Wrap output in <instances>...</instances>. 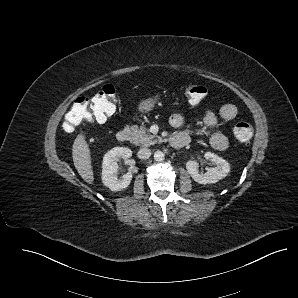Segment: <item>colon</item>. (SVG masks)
I'll use <instances>...</instances> for the list:
<instances>
[{
    "label": "colon",
    "instance_id": "colon-1",
    "mask_svg": "<svg viewBox=\"0 0 298 298\" xmlns=\"http://www.w3.org/2000/svg\"><path fill=\"white\" fill-rule=\"evenodd\" d=\"M181 92L191 104H198L207 96L206 88L196 84L183 85ZM115 104L116 92L112 85H105L91 97H78L65 115L64 127L67 131H73L85 121L104 122L115 112ZM233 132L242 143H249L253 136L252 126L244 121L236 123Z\"/></svg>",
    "mask_w": 298,
    "mask_h": 298
}]
</instances>
